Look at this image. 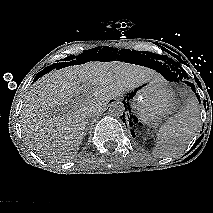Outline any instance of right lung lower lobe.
<instances>
[{"label":"right lung lower lobe","instance_id":"obj_1","mask_svg":"<svg viewBox=\"0 0 213 213\" xmlns=\"http://www.w3.org/2000/svg\"><path fill=\"white\" fill-rule=\"evenodd\" d=\"M70 63H72V62H70ZM70 63L68 64V62H64V63H56V64H53V65H50V66L46 67L43 71L38 73V75L35 78L36 79L39 78L42 74H45V73L51 71L54 68L58 69V68L63 67V66L71 65Z\"/></svg>","mask_w":213,"mask_h":213}]
</instances>
